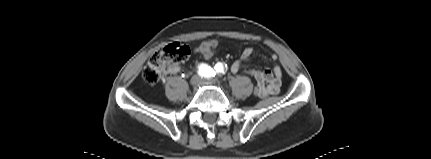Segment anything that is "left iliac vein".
<instances>
[{
  "label": "left iliac vein",
  "mask_w": 431,
  "mask_h": 159,
  "mask_svg": "<svg viewBox=\"0 0 431 159\" xmlns=\"http://www.w3.org/2000/svg\"><path fill=\"white\" fill-rule=\"evenodd\" d=\"M218 82V80L216 79V78H212V79H203L202 80V83H204V84H215V83H217Z\"/></svg>",
  "instance_id": "left-iliac-vein-1"
}]
</instances>
